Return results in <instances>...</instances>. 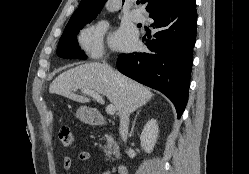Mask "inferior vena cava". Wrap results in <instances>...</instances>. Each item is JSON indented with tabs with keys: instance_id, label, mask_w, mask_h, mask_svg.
<instances>
[{
	"instance_id": "602c4592",
	"label": "inferior vena cava",
	"mask_w": 249,
	"mask_h": 174,
	"mask_svg": "<svg viewBox=\"0 0 249 174\" xmlns=\"http://www.w3.org/2000/svg\"><path fill=\"white\" fill-rule=\"evenodd\" d=\"M129 115H130L129 108L124 103L122 105L121 111L119 112V116H120L119 133L124 142L127 141V136H128Z\"/></svg>"
}]
</instances>
